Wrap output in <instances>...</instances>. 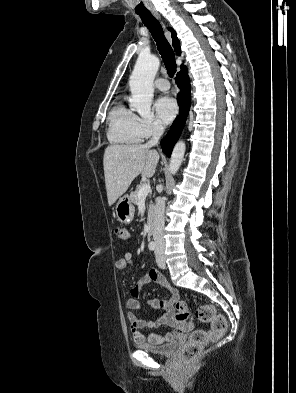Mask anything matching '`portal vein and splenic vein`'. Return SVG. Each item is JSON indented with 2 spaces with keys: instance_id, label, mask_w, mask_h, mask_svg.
I'll list each match as a JSON object with an SVG mask.
<instances>
[{
  "instance_id": "18ae733b",
  "label": "portal vein and splenic vein",
  "mask_w": 296,
  "mask_h": 393,
  "mask_svg": "<svg viewBox=\"0 0 296 393\" xmlns=\"http://www.w3.org/2000/svg\"><path fill=\"white\" fill-rule=\"evenodd\" d=\"M150 192H151L150 184H144L138 193V198L144 199L148 195V193H150Z\"/></svg>"
}]
</instances>
